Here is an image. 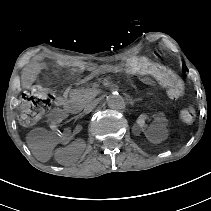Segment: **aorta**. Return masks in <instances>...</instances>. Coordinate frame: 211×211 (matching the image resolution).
<instances>
[{
    "mask_svg": "<svg viewBox=\"0 0 211 211\" xmlns=\"http://www.w3.org/2000/svg\"><path fill=\"white\" fill-rule=\"evenodd\" d=\"M107 104L112 109H123L125 107V101L118 93L110 94L107 97Z\"/></svg>",
    "mask_w": 211,
    "mask_h": 211,
    "instance_id": "762f6f07",
    "label": "aorta"
}]
</instances>
